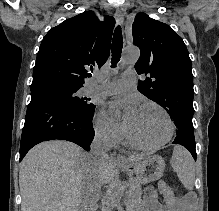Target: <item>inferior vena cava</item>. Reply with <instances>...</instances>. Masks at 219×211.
Wrapping results in <instances>:
<instances>
[{
    "instance_id": "inferior-vena-cava-1",
    "label": "inferior vena cava",
    "mask_w": 219,
    "mask_h": 211,
    "mask_svg": "<svg viewBox=\"0 0 219 211\" xmlns=\"http://www.w3.org/2000/svg\"><path fill=\"white\" fill-rule=\"evenodd\" d=\"M91 153H90V167L92 175H101L106 162L104 159H109L108 151L111 149L110 143V135H108L107 131H103V133H98L95 135L91 145ZM89 183H83L82 187L79 189L81 194L80 198V206L83 207V211H94L96 209V203L94 194L96 193V188L99 187V184L96 183V178H89Z\"/></svg>"
}]
</instances>
